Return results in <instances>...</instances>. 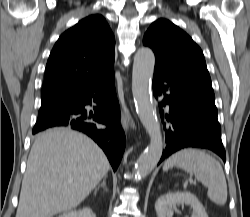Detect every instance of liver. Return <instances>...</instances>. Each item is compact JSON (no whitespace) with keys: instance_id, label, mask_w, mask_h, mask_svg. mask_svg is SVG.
Listing matches in <instances>:
<instances>
[{"instance_id":"6515ba94","label":"liver","mask_w":250,"mask_h":217,"mask_svg":"<svg viewBox=\"0 0 250 217\" xmlns=\"http://www.w3.org/2000/svg\"><path fill=\"white\" fill-rule=\"evenodd\" d=\"M103 151L84 134L49 129L34 142L16 217H52L77 207L107 175Z\"/></svg>"}]
</instances>
